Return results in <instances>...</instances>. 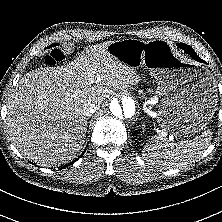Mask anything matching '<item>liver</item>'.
Returning <instances> with one entry per match:
<instances>
[{
    "label": "liver",
    "instance_id": "6515ba94",
    "mask_svg": "<svg viewBox=\"0 0 222 222\" xmlns=\"http://www.w3.org/2000/svg\"><path fill=\"white\" fill-rule=\"evenodd\" d=\"M109 43L86 49L66 66L41 67L20 79L8 99L6 124L25 157L41 166L71 161L85 142V104L100 106L116 90L139 82L135 69L106 52Z\"/></svg>",
    "mask_w": 222,
    "mask_h": 222
}]
</instances>
